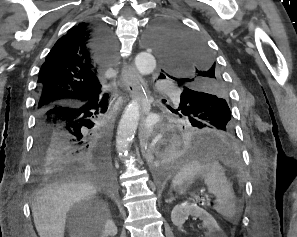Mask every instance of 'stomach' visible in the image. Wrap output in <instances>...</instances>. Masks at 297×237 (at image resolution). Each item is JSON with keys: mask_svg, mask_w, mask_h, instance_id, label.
<instances>
[{"mask_svg": "<svg viewBox=\"0 0 297 237\" xmlns=\"http://www.w3.org/2000/svg\"><path fill=\"white\" fill-rule=\"evenodd\" d=\"M179 194H184L188 190V183L184 182L180 185L172 187Z\"/></svg>", "mask_w": 297, "mask_h": 237, "instance_id": "0dacf381", "label": "stomach"}]
</instances>
